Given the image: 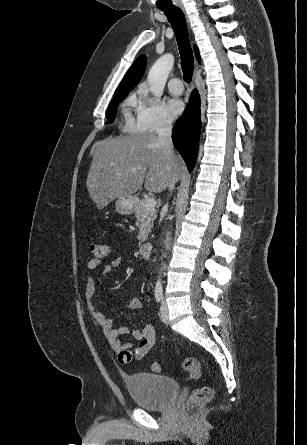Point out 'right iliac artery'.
<instances>
[{
	"mask_svg": "<svg viewBox=\"0 0 307 445\" xmlns=\"http://www.w3.org/2000/svg\"><path fill=\"white\" fill-rule=\"evenodd\" d=\"M155 298L157 302H161L163 300V292L162 290L155 291Z\"/></svg>",
	"mask_w": 307,
	"mask_h": 445,
	"instance_id": "obj_1",
	"label": "right iliac artery"
}]
</instances>
